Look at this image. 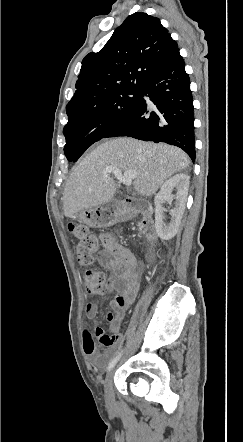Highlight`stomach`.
<instances>
[{
    "mask_svg": "<svg viewBox=\"0 0 243 442\" xmlns=\"http://www.w3.org/2000/svg\"><path fill=\"white\" fill-rule=\"evenodd\" d=\"M79 220L90 227L101 228L109 227L118 220L119 213L111 203H105L101 206L82 210L77 215Z\"/></svg>",
    "mask_w": 243,
    "mask_h": 442,
    "instance_id": "obj_1",
    "label": "stomach"
}]
</instances>
